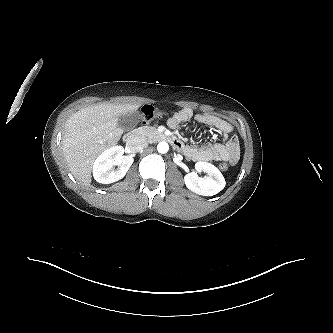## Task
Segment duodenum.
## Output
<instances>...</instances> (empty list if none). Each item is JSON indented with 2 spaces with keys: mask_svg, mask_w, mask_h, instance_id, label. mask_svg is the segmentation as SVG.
Masks as SVG:
<instances>
[{
  "mask_svg": "<svg viewBox=\"0 0 333 333\" xmlns=\"http://www.w3.org/2000/svg\"><path fill=\"white\" fill-rule=\"evenodd\" d=\"M138 135L135 131H131L125 134L124 141L129 149H134L137 145ZM164 139L169 142L174 148L182 149L183 143L172 135H164Z\"/></svg>",
  "mask_w": 333,
  "mask_h": 333,
  "instance_id": "1",
  "label": "duodenum"
}]
</instances>
